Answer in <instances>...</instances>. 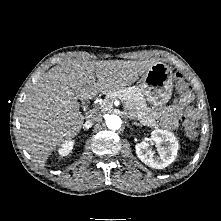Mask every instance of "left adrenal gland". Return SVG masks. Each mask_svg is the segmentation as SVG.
Returning a JSON list of instances; mask_svg holds the SVG:
<instances>
[{
  "mask_svg": "<svg viewBox=\"0 0 221 221\" xmlns=\"http://www.w3.org/2000/svg\"><path fill=\"white\" fill-rule=\"evenodd\" d=\"M132 125L141 126L139 123L133 122Z\"/></svg>",
  "mask_w": 221,
  "mask_h": 221,
  "instance_id": "obj_1",
  "label": "left adrenal gland"
}]
</instances>
